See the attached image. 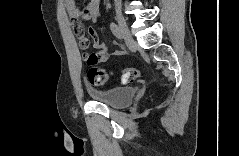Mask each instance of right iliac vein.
<instances>
[{"label": "right iliac vein", "mask_w": 239, "mask_h": 156, "mask_svg": "<svg viewBox=\"0 0 239 156\" xmlns=\"http://www.w3.org/2000/svg\"><path fill=\"white\" fill-rule=\"evenodd\" d=\"M116 19H117V22L119 24L122 36H123V38H124V40L126 42V45L128 47H130L131 45H133L134 40H133V38L131 36V33L129 31V28L127 26L126 20L123 17V15H122L120 10L116 11Z\"/></svg>", "instance_id": "obj_1"}]
</instances>
